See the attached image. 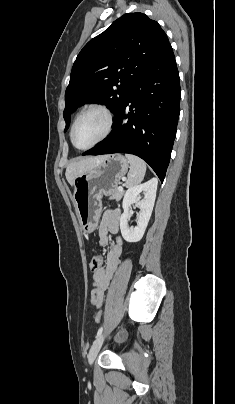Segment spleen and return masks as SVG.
<instances>
[{
  "label": "spleen",
  "instance_id": "3e777b00",
  "mask_svg": "<svg viewBox=\"0 0 235 404\" xmlns=\"http://www.w3.org/2000/svg\"><path fill=\"white\" fill-rule=\"evenodd\" d=\"M125 156L130 163V170L126 181V186L130 188L143 181L146 173V164L141 158L135 155L126 154Z\"/></svg>",
  "mask_w": 235,
  "mask_h": 404
}]
</instances>
